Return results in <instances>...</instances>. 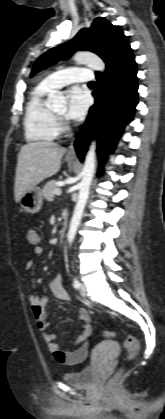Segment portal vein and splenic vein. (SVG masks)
I'll return each instance as SVG.
<instances>
[{
	"mask_svg": "<svg viewBox=\"0 0 165 419\" xmlns=\"http://www.w3.org/2000/svg\"><path fill=\"white\" fill-rule=\"evenodd\" d=\"M54 192H55L56 195H60L61 194V189L57 188Z\"/></svg>",
	"mask_w": 165,
	"mask_h": 419,
	"instance_id": "1",
	"label": "portal vein and splenic vein"
}]
</instances>
